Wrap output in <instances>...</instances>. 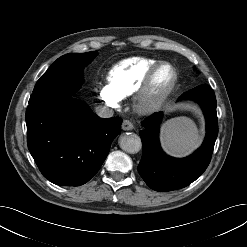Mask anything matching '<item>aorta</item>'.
<instances>
[{"label":"aorta","instance_id":"762f6f07","mask_svg":"<svg viewBox=\"0 0 247 247\" xmlns=\"http://www.w3.org/2000/svg\"><path fill=\"white\" fill-rule=\"evenodd\" d=\"M120 148L130 154H135L140 151L142 144L140 137L135 133H127L119 139Z\"/></svg>","mask_w":247,"mask_h":247}]
</instances>
